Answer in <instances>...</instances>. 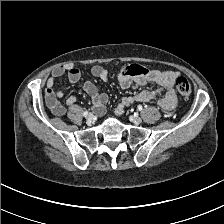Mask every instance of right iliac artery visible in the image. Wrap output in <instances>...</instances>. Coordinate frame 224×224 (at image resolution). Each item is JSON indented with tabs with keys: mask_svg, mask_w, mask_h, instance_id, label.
I'll list each match as a JSON object with an SVG mask.
<instances>
[{
	"mask_svg": "<svg viewBox=\"0 0 224 224\" xmlns=\"http://www.w3.org/2000/svg\"><path fill=\"white\" fill-rule=\"evenodd\" d=\"M88 113H89V111H85V112L83 113V116L86 117V116L88 115Z\"/></svg>",
	"mask_w": 224,
	"mask_h": 224,
	"instance_id": "obj_1",
	"label": "right iliac artery"
}]
</instances>
